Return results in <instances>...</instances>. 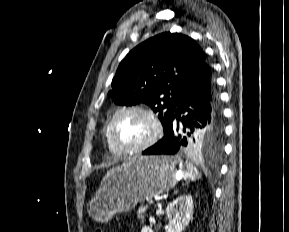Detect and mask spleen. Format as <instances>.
Segmentation results:
<instances>
[{"label": "spleen", "instance_id": "spleen-1", "mask_svg": "<svg viewBox=\"0 0 289 232\" xmlns=\"http://www.w3.org/2000/svg\"><path fill=\"white\" fill-rule=\"evenodd\" d=\"M182 175L185 180H191V181H195L196 179L201 177L197 168L193 166L190 162L186 163L185 168L183 169Z\"/></svg>", "mask_w": 289, "mask_h": 232}]
</instances>
